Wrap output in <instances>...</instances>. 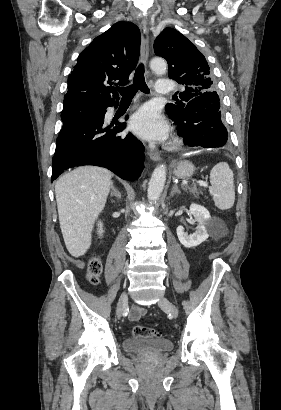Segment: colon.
Returning <instances> with one entry per match:
<instances>
[{
  "label": "colon",
  "instance_id": "5ec220e1",
  "mask_svg": "<svg viewBox=\"0 0 281 410\" xmlns=\"http://www.w3.org/2000/svg\"><path fill=\"white\" fill-rule=\"evenodd\" d=\"M102 272V263L99 256H93L88 263L87 278L92 285H96L99 282V277ZM132 335L135 338H157L160 333L152 328L145 326H134L131 330Z\"/></svg>",
  "mask_w": 281,
  "mask_h": 410
}]
</instances>
